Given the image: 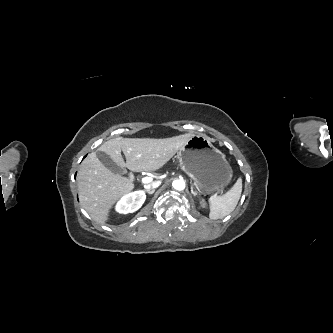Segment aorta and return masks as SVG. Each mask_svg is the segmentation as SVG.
Here are the masks:
<instances>
[{
    "label": "aorta",
    "instance_id": "1",
    "mask_svg": "<svg viewBox=\"0 0 333 333\" xmlns=\"http://www.w3.org/2000/svg\"><path fill=\"white\" fill-rule=\"evenodd\" d=\"M172 186L175 190H184L185 189V182L183 180H175L172 183Z\"/></svg>",
    "mask_w": 333,
    "mask_h": 333
}]
</instances>
